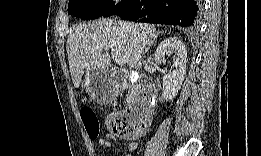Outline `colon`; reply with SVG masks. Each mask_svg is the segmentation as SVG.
<instances>
[{
  "label": "colon",
  "instance_id": "1",
  "mask_svg": "<svg viewBox=\"0 0 261 156\" xmlns=\"http://www.w3.org/2000/svg\"><path fill=\"white\" fill-rule=\"evenodd\" d=\"M81 119L85 125L90 138L96 139L99 135L100 126L98 118L90 107L81 110ZM108 129L115 135L125 138L141 136L147 128V122L130 125L128 121L119 114H111L106 121Z\"/></svg>",
  "mask_w": 261,
  "mask_h": 156
}]
</instances>
